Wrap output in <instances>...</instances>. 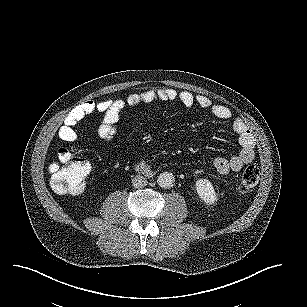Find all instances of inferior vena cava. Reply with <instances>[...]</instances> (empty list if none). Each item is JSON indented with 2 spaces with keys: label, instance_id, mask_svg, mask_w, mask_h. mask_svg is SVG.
I'll use <instances>...</instances> for the list:
<instances>
[{
  "label": "inferior vena cava",
  "instance_id": "602c4592",
  "mask_svg": "<svg viewBox=\"0 0 307 307\" xmlns=\"http://www.w3.org/2000/svg\"><path fill=\"white\" fill-rule=\"evenodd\" d=\"M131 182L132 186L135 188H144L148 184L147 179L142 175L134 176Z\"/></svg>",
  "mask_w": 307,
  "mask_h": 307
}]
</instances>
